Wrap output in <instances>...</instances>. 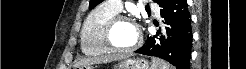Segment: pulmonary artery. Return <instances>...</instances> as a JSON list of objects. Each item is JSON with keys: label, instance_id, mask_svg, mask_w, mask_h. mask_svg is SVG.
I'll use <instances>...</instances> for the list:
<instances>
[{"label": "pulmonary artery", "instance_id": "e3ab8cb5", "mask_svg": "<svg viewBox=\"0 0 246 69\" xmlns=\"http://www.w3.org/2000/svg\"><path fill=\"white\" fill-rule=\"evenodd\" d=\"M110 8L115 10L116 12L121 11L122 9V3L119 0H114V1H107L106 2Z\"/></svg>", "mask_w": 246, "mask_h": 69}]
</instances>
